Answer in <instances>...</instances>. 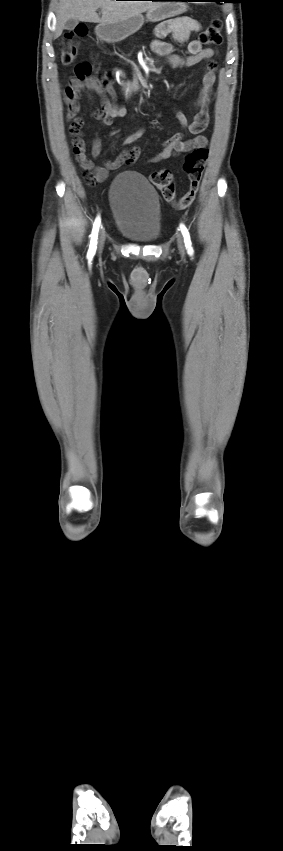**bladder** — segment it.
I'll return each mask as SVG.
<instances>
[{"label": "bladder", "instance_id": "bladder-1", "mask_svg": "<svg viewBox=\"0 0 283 851\" xmlns=\"http://www.w3.org/2000/svg\"><path fill=\"white\" fill-rule=\"evenodd\" d=\"M117 230L137 243L155 242L161 235V206L154 187L135 172L120 173L109 189Z\"/></svg>", "mask_w": 283, "mask_h": 851}]
</instances>
